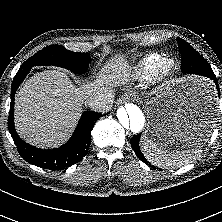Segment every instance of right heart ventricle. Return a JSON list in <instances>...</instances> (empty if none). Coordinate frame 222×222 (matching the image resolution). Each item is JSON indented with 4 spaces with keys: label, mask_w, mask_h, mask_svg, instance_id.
Wrapping results in <instances>:
<instances>
[{
    "label": "right heart ventricle",
    "mask_w": 222,
    "mask_h": 222,
    "mask_svg": "<svg viewBox=\"0 0 222 222\" xmlns=\"http://www.w3.org/2000/svg\"><path fill=\"white\" fill-rule=\"evenodd\" d=\"M164 58L160 53H151L142 58L139 64L138 73L142 78H149L154 74L158 63Z\"/></svg>",
    "instance_id": "1"
}]
</instances>
